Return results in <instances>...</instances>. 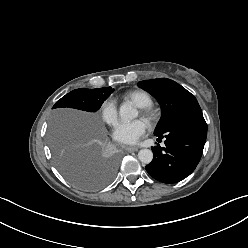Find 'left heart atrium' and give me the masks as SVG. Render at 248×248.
Instances as JSON below:
<instances>
[{"mask_svg": "<svg viewBox=\"0 0 248 248\" xmlns=\"http://www.w3.org/2000/svg\"><path fill=\"white\" fill-rule=\"evenodd\" d=\"M147 131V124L143 120L131 122H120L113 131V138L123 144L133 145L144 136Z\"/></svg>", "mask_w": 248, "mask_h": 248, "instance_id": "1", "label": "left heart atrium"}]
</instances>
